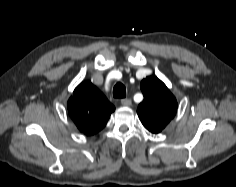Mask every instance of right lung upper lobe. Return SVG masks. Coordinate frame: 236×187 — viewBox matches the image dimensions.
Segmentation results:
<instances>
[{
    "instance_id": "right-lung-upper-lobe-1",
    "label": "right lung upper lobe",
    "mask_w": 236,
    "mask_h": 187,
    "mask_svg": "<svg viewBox=\"0 0 236 187\" xmlns=\"http://www.w3.org/2000/svg\"><path fill=\"white\" fill-rule=\"evenodd\" d=\"M67 106L77 128L87 136L103 129L115 110L104 94L89 81L75 88Z\"/></svg>"
}]
</instances>
